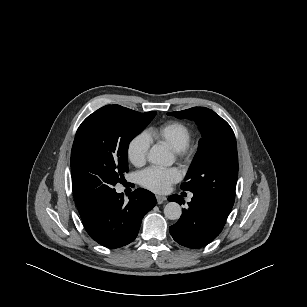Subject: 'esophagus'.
Masks as SVG:
<instances>
[{
  "instance_id": "obj_1",
  "label": "esophagus",
  "mask_w": 307,
  "mask_h": 307,
  "mask_svg": "<svg viewBox=\"0 0 307 307\" xmlns=\"http://www.w3.org/2000/svg\"><path fill=\"white\" fill-rule=\"evenodd\" d=\"M156 200L158 204H162L163 202L167 200V198L165 196L156 195Z\"/></svg>"
}]
</instances>
